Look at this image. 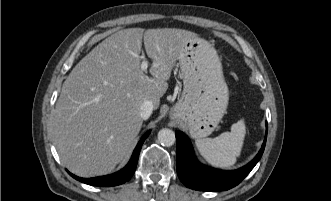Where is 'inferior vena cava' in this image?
<instances>
[{"instance_id": "inferior-vena-cava-1", "label": "inferior vena cava", "mask_w": 331, "mask_h": 201, "mask_svg": "<svg viewBox=\"0 0 331 201\" xmlns=\"http://www.w3.org/2000/svg\"><path fill=\"white\" fill-rule=\"evenodd\" d=\"M153 103L150 100H145L143 101V103L141 104L140 107V116L142 119L146 120L150 117L152 111H153Z\"/></svg>"}]
</instances>
